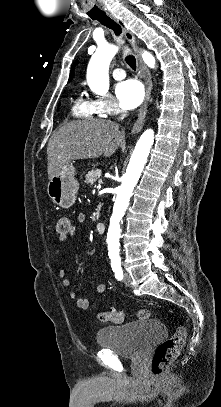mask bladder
Returning <instances> with one entry per match:
<instances>
[{"instance_id":"bladder-1","label":"bladder","mask_w":221,"mask_h":407,"mask_svg":"<svg viewBox=\"0 0 221 407\" xmlns=\"http://www.w3.org/2000/svg\"><path fill=\"white\" fill-rule=\"evenodd\" d=\"M166 334V325L161 320H140L100 328L96 332V343L100 347L113 349L120 356L137 358Z\"/></svg>"}]
</instances>
